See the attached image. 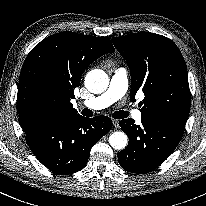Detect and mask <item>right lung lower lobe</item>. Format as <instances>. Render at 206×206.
I'll return each instance as SVG.
<instances>
[{"mask_svg": "<svg viewBox=\"0 0 206 206\" xmlns=\"http://www.w3.org/2000/svg\"><path fill=\"white\" fill-rule=\"evenodd\" d=\"M112 127L107 116H78L26 133L37 159L57 174H72L85 167L92 146Z\"/></svg>", "mask_w": 206, "mask_h": 206, "instance_id": "right-lung-lower-lobe-1", "label": "right lung lower lobe"}]
</instances>
